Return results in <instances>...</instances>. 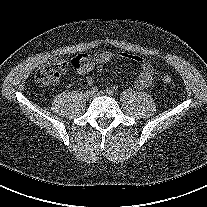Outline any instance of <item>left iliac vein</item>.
Returning <instances> with one entry per match:
<instances>
[{"label":"left iliac vein","instance_id":"obj_1","mask_svg":"<svg viewBox=\"0 0 207 207\" xmlns=\"http://www.w3.org/2000/svg\"><path fill=\"white\" fill-rule=\"evenodd\" d=\"M103 95H105V93H104V92H102V91H100V92H98V93L94 94V96H103Z\"/></svg>","mask_w":207,"mask_h":207}]
</instances>
